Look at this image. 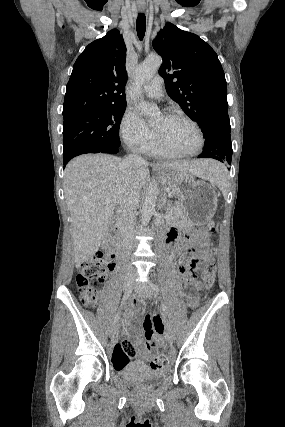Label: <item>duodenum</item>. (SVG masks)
I'll return each instance as SVG.
<instances>
[{
  "label": "duodenum",
  "instance_id": "1",
  "mask_svg": "<svg viewBox=\"0 0 285 427\" xmlns=\"http://www.w3.org/2000/svg\"><path fill=\"white\" fill-rule=\"evenodd\" d=\"M124 228V221L121 217H118L112 223V239L110 241L109 255L113 260H116L122 251V240H121V231ZM166 249H169L168 247Z\"/></svg>",
  "mask_w": 285,
  "mask_h": 427
}]
</instances>
